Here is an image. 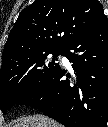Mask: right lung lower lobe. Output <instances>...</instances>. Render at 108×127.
<instances>
[{"mask_svg": "<svg viewBox=\"0 0 108 127\" xmlns=\"http://www.w3.org/2000/svg\"><path fill=\"white\" fill-rule=\"evenodd\" d=\"M72 50V51H71ZM63 55L75 77L59 68L19 104L43 109L66 127H105L108 121V20L78 35ZM67 77V78H66Z\"/></svg>", "mask_w": 108, "mask_h": 127, "instance_id": "98d812e1", "label": "right lung lower lobe"}]
</instances>
